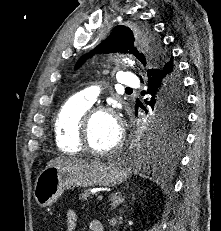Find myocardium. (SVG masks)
<instances>
[{
    "instance_id": "1",
    "label": "myocardium",
    "mask_w": 221,
    "mask_h": 231,
    "mask_svg": "<svg viewBox=\"0 0 221 231\" xmlns=\"http://www.w3.org/2000/svg\"><path fill=\"white\" fill-rule=\"evenodd\" d=\"M100 113H106L111 115L117 125H118V138L116 140V142L109 148L107 149H103V150H97L94 149L91 145H90V141H89V130H90V125L91 122L93 120V118ZM124 138H125V129H124V125L122 124V122L119 119L118 114L115 112V110L109 106H105V105H97V106H93L90 107L82 116L80 123H79V143L82 146V148L84 150H86L87 152H89L90 154L93 155H99V156H104V155H108L111 154L115 151H117L123 144L124 142Z\"/></svg>"
}]
</instances>
